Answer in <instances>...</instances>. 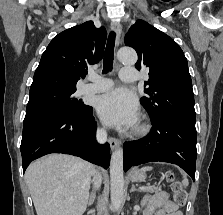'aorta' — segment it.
<instances>
[{
  "instance_id": "1",
  "label": "aorta",
  "mask_w": 223,
  "mask_h": 215,
  "mask_svg": "<svg viewBox=\"0 0 223 215\" xmlns=\"http://www.w3.org/2000/svg\"><path fill=\"white\" fill-rule=\"evenodd\" d=\"M117 58L122 64H136L137 54L133 48H120ZM123 149L118 147L111 155L110 189L112 209H118L124 199Z\"/></svg>"
}]
</instances>
